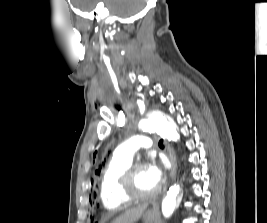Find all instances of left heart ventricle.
Segmentation results:
<instances>
[{"mask_svg": "<svg viewBox=\"0 0 267 223\" xmlns=\"http://www.w3.org/2000/svg\"><path fill=\"white\" fill-rule=\"evenodd\" d=\"M134 187L139 193H151L157 189L155 185L148 177L147 167L139 169L134 177Z\"/></svg>", "mask_w": 267, "mask_h": 223, "instance_id": "obj_1", "label": "left heart ventricle"}]
</instances>
